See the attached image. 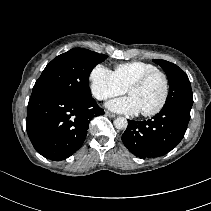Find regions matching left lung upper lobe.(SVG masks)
<instances>
[{"instance_id":"1","label":"left lung upper lobe","mask_w":211,"mask_h":211,"mask_svg":"<svg viewBox=\"0 0 211 211\" xmlns=\"http://www.w3.org/2000/svg\"><path fill=\"white\" fill-rule=\"evenodd\" d=\"M165 71L169 80V95L164 106L178 104L192 107L193 93L187 75L175 64L165 60H153Z\"/></svg>"}]
</instances>
